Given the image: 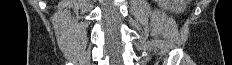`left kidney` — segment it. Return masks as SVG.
Returning a JSON list of instances; mask_svg holds the SVG:
<instances>
[{
	"mask_svg": "<svg viewBox=\"0 0 232 65\" xmlns=\"http://www.w3.org/2000/svg\"><path fill=\"white\" fill-rule=\"evenodd\" d=\"M164 9L172 13H182L186 9L188 0H156Z\"/></svg>",
	"mask_w": 232,
	"mask_h": 65,
	"instance_id": "1",
	"label": "left kidney"
}]
</instances>
